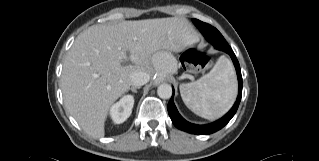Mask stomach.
I'll use <instances>...</instances> for the list:
<instances>
[{
    "label": "stomach",
    "mask_w": 319,
    "mask_h": 161,
    "mask_svg": "<svg viewBox=\"0 0 319 161\" xmlns=\"http://www.w3.org/2000/svg\"><path fill=\"white\" fill-rule=\"evenodd\" d=\"M153 64L161 76L176 73L178 62L169 50H159L153 55Z\"/></svg>",
    "instance_id": "obj_1"
}]
</instances>
